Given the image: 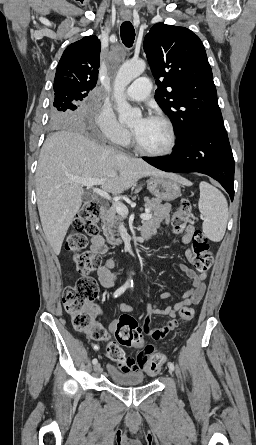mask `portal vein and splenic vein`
Segmentation results:
<instances>
[{
  "label": "portal vein and splenic vein",
  "instance_id": "18ae733b",
  "mask_svg": "<svg viewBox=\"0 0 256 445\" xmlns=\"http://www.w3.org/2000/svg\"><path fill=\"white\" fill-rule=\"evenodd\" d=\"M72 181L78 184H82L83 186H86L87 188H90L93 190L94 193L101 196L102 198H105L107 200H111L110 195L107 191L97 188V185H103L105 182V179H96V178H78V177H72ZM113 207L117 211L118 214L121 216H127L128 215V209L127 207L122 204L119 201L112 202ZM140 218L142 220H150L152 218V215L150 214V210L147 209L144 214L140 215Z\"/></svg>",
  "mask_w": 256,
  "mask_h": 445
}]
</instances>
